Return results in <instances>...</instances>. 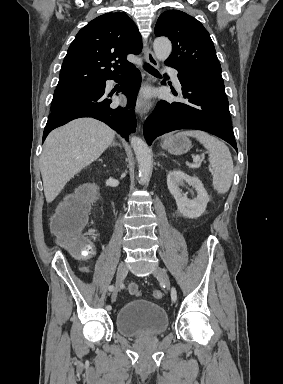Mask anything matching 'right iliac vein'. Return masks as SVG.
<instances>
[{
  "mask_svg": "<svg viewBox=\"0 0 283 384\" xmlns=\"http://www.w3.org/2000/svg\"><path fill=\"white\" fill-rule=\"evenodd\" d=\"M127 275V266L124 262H121L118 266L117 275H116V283L115 288L112 294V301H115L117 298L118 291L120 289V285Z\"/></svg>",
  "mask_w": 283,
  "mask_h": 384,
  "instance_id": "right-iliac-vein-1",
  "label": "right iliac vein"
}]
</instances>
